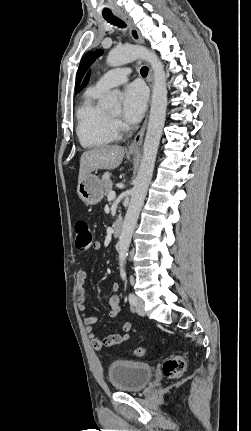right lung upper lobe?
<instances>
[{"label":"right lung upper lobe","instance_id":"right-lung-upper-lobe-1","mask_svg":"<svg viewBox=\"0 0 251 431\" xmlns=\"http://www.w3.org/2000/svg\"><path fill=\"white\" fill-rule=\"evenodd\" d=\"M89 76H90V72L87 74V76L85 77V79H84V81H83V84H82V86H81V88H80V90L82 89V87H84L87 83H88V81H89Z\"/></svg>","mask_w":251,"mask_h":431}]
</instances>
